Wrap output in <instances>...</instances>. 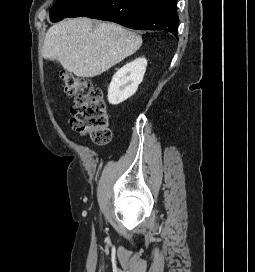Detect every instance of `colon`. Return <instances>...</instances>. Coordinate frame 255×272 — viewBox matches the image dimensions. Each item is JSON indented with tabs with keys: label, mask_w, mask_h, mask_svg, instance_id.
Wrapping results in <instances>:
<instances>
[{
	"label": "colon",
	"mask_w": 255,
	"mask_h": 272,
	"mask_svg": "<svg viewBox=\"0 0 255 272\" xmlns=\"http://www.w3.org/2000/svg\"><path fill=\"white\" fill-rule=\"evenodd\" d=\"M64 92L74 97L71 109L70 126L79 134L88 135L97 145L110 142V115L107 112L103 95L89 80L70 72H61Z\"/></svg>",
	"instance_id": "obj_1"
}]
</instances>
